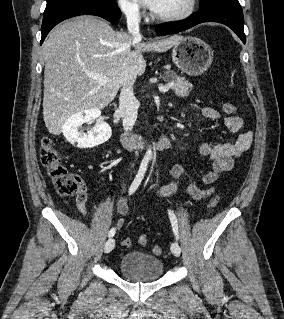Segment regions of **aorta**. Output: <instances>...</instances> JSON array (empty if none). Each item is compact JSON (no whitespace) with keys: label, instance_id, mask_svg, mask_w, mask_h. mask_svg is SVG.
I'll list each match as a JSON object with an SVG mask.
<instances>
[{"label":"aorta","instance_id":"762f6f07","mask_svg":"<svg viewBox=\"0 0 284 319\" xmlns=\"http://www.w3.org/2000/svg\"><path fill=\"white\" fill-rule=\"evenodd\" d=\"M144 158L147 159V160H150V159L153 158V153H152L151 148L147 149Z\"/></svg>","mask_w":284,"mask_h":319}]
</instances>
